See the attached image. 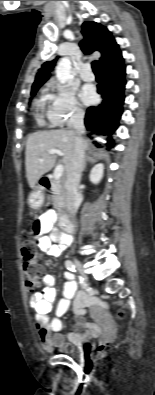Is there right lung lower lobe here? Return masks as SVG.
Masks as SVG:
<instances>
[{
  "label": "right lung lower lobe",
  "instance_id": "1",
  "mask_svg": "<svg viewBox=\"0 0 155 395\" xmlns=\"http://www.w3.org/2000/svg\"><path fill=\"white\" fill-rule=\"evenodd\" d=\"M123 61L121 59L101 68L103 82L97 86V92L101 94L103 101L98 106L89 107L86 112V128L92 132L97 131L100 135H111L119 125L126 84ZM106 145L113 147V140L109 138Z\"/></svg>",
  "mask_w": 155,
  "mask_h": 395
}]
</instances>
